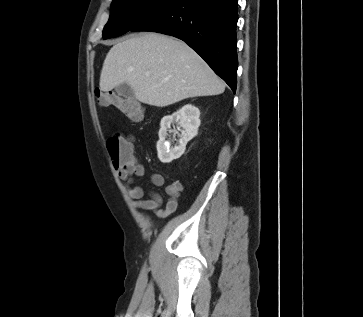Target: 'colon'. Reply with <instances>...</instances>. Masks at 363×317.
Masks as SVG:
<instances>
[{"mask_svg": "<svg viewBox=\"0 0 363 317\" xmlns=\"http://www.w3.org/2000/svg\"><path fill=\"white\" fill-rule=\"evenodd\" d=\"M96 98L101 105L115 107L132 121H140L143 117L142 107L132 98L111 90L96 91ZM106 149L115 166H127L134 163L132 144L122 134L115 133L109 136Z\"/></svg>", "mask_w": 363, "mask_h": 317, "instance_id": "1", "label": "colon"}]
</instances>
